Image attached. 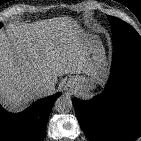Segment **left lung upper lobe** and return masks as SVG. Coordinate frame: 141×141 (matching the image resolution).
Returning <instances> with one entry per match:
<instances>
[{
	"instance_id": "5c2ea615",
	"label": "left lung upper lobe",
	"mask_w": 141,
	"mask_h": 141,
	"mask_svg": "<svg viewBox=\"0 0 141 141\" xmlns=\"http://www.w3.org/2000/svg\"><path fill=\"white\" fill-rule=\"evenodd\" d=\"M108 19L112 24V33L115 36V38L119 39L133 38L141 40V37L138 36L137 32L129 24L125 23L124 21L118 18L111 16H108Z\"/></svg>"
}]
</instances>
